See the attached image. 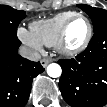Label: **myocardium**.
<instances>
[{
  "label": "myocardium",
  "mask_w": 107,
  "mask_h": 107,
  "mask_svg": "<svg viewBox=\"0 0 107 107\" xmlns=\"http://www.w3.org/2000/svg\"><path fill=\"white\" fill-rule=\"evenodd\" d=\"M78 18L83 19L86 22L87 33L83 41L78 46L69 47L67 45V32L72 21ZM92 35H93V27H92L90 20L85 15L76 13L65 22L54 46L61 55H64L67 57H73V56L80 54L86 49V47L88 46L92 38Z\"/></svg>",
  "instance_id": "1"
}]
</instances>
